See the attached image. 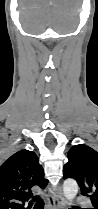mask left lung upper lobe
I'll list each match as a JSON object with an SVG mask.
<instances>
[{
	"label": "left lung upper lobe",
	"instance_id": "left-lung-upper-lobe-1",
	"mask_svg": "<svg viewBox=\"0 0 98 209\" xmlns=\"http://www.w3.org/2000/svg\"><path fill=\"white\" fill-rule=\"evenodd\" d=\"M63 172V178L75 179L81 194L89 197L94 209H98V152L85 144L73 146Z\"/></svg>",
	"mask_w": 98,
	"mask_h": 209
}]
</instances>
